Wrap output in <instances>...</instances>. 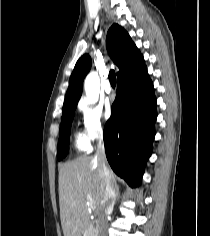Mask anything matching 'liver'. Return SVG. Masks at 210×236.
Listing matches in <instances>:
<instances>
[{
    "label": "liver",
    "mask_w": 210,
    "mask_h": 236,
    "mask_svg": "<svg viewBox=\"0 0 210 236\" xmlns=\"http://www.w3.org/2000/svg\"><path fill=\"white\" fill-rule=\"evenodd\" d=\"M101 182L98 164L93 157H79L60 167L59 204L64 236L82 235L88 224V203L100 209Z\"/></svg>",
    "instance_id": "liver-1"
}]
</instances>
